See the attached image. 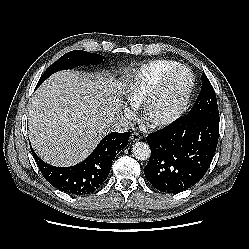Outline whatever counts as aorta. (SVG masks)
Masks as SVG:
<instances>
[{"instance_id": "762f6f07", "label": "aorta", "mask_w": 249, "mask_h": 249, "mask_svg": "<svg viewBox=\"0 0 249 249\" xmlns=\"http://www.w3.org/2000/svg\"><path fill=\"white\" fill-rule=\"evenodd\" d=\"M132 153L140 161L147 160L151 155V149L145 142H137L133 145Z\"/></svg>"}]
</instances>
